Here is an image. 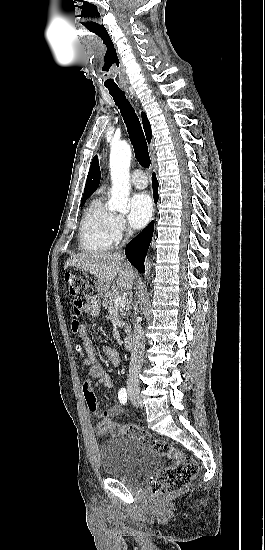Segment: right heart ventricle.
<instances>
[{
    "label": "right heart ventricle",
    "instance_id": "1",
    "mask_svg": "<svg viewBox=\"0 0 265 550\" xmlns=\"http://www.w3.org/2000/svg\"><path fill=\"white\" fill-rule=\"evenodd\" d=\"M115 217L114 212L104 204L101 197L92 200L80 223L81 249L92 252L108 251L116 241Z\"/></svg>",
    "mask_w": 265,
    "mask_h": 550
}]
</instances>
